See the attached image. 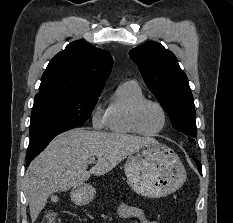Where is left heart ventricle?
<instances>
[{
  "label": "left heart ventricle",
  "mask_w": 233,
  "mask_h": 223,
  "mask_svg": "<svg viewBox=\"0 0 233 223\" xmlns=\"http://www.w3.org/2000/svg\"><path fill=\"white\" fill-rule=\"evenodd\" d=\"M140 124L148 133L160 131L164 126V116L160 108L154 104L145 105L140 114Z\"/></svg>",
  "instance_id": "left-heart-ventricle-1"
}]
</instances>
